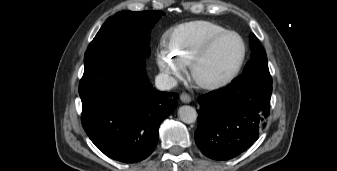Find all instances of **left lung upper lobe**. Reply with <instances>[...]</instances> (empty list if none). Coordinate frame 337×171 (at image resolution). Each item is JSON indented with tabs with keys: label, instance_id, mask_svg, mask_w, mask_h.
I'll return each instance as SVG.
<instances>
[{
	"label": "left lung upper lobe",
	"instance_id": "1",
	"mask_svg": "<svg viewBox=\"0 0 337 171\" xmlns=\"http://www.w3.org/2000/svg\"><path fill=\"white\" fill-rule=\"evenodd\" d=\"M250 44L252 49L251 59L246 64L243 74L238 76L234 82L248 79H260L272 82L266 53L254 34H250Z\"/></svg>",
	"mask_w": 337,
	"mask_h": 171
}]
</instances>
